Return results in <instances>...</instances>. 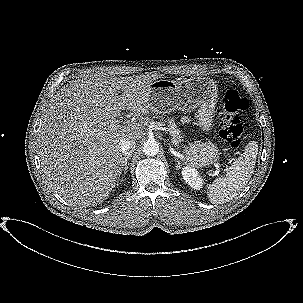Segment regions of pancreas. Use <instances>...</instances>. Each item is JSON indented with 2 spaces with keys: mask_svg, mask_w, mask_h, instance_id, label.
Instances as JSON below:
<instances>
[{
  "mask_svg": "<svg viewBox=\"0 0 303 303\" xmlns=\"http://www.w3.org/2000/svg\"><path fill=\"white\" fill-rule=\"evenodd\" d=\"M168 131L171 135V141L174 145L179 146L183 141V136L180 133V130L177 128L173 119L168 120Z\"/></svg>",
  "mask_w": 303,
  "mask_h": 303,
  "instance_id": "obj_1",
  "label": "pancreas"
}]
</instances>
